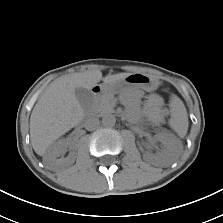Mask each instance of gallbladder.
<instances>
[{"label": "gallbladder", "mask_w": 223, "mask_h": 223, "mask_svg": "<svg viewBox=\"0 0 223 223\" xmlns=\"http://www.w3.org/2000/svg\"><path fill=\"white\" fill-rule=\"evenodd\" d=\"M75 95L83 109H87L93 99V94L89 89L78 87L75 89Z\"/></svg>", "instance_id": "1"}]
</instances>
